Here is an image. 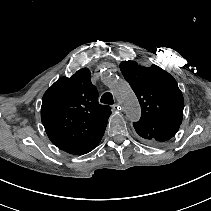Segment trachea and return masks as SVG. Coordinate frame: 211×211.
<instances>
[{
    "instance_id": "obj_1",
    "label": "trachea",
    "mask_w": 211,
    "mask_h": 211,
    "mask_svg": "<svg viewBox=\"0 0 211 211\" xmlns=\"http://www.w3.org/2000/svg\"><path fill=\"white\" fill-rule=\"evenodd\" d=\"M100 101H101V103H103V104H108V105L114 104L113 95H112L110 92L104 93V94L102 95Z\"/></svg>"
}]
</instances>
